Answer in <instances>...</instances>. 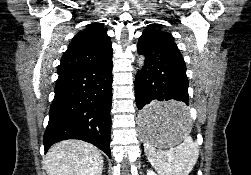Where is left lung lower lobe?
I'll return each instance as SVG.
<instances>
[{
	"label": "left lung lower lobe",
	"instance_id": "obj_1",
	"mask_svg": "<svg viewBox=\"0 0 251 175\" xmlns=\"http://www.w3.org/2000/svg\"><path fill=\"white\" fill-rule=\"evenodd\" d=\"M137 50L146 58L135 79L139 121L153 126L185 120L189 115V84L185 62L177 46L158 35L143 33ZM171 99L181 103H157Z\"/></svg>",
	"mask_w": 251,
	"mask_h": 175
}]
</instances>
